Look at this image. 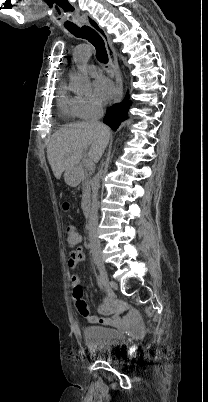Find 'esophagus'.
<instances>
[{
    "mask_svg": "<svg viewBox=\"0 0 208 402\" xmlns=\"http://www.w3.org/2000/svg\"><path fill=\"white\" fill-rule=\"evenodd\" d=\"M82 23H87L92 27L104 40V43L106 45V50L107 54L109 57V62L110 65L114 71V76H115V81H116V94L113 103H118L122 99L123 96V84H122V78H121V73L119 69V64L116 56V52L112 46L111 40L106 33L105 29L99 25L97 22L96 18H94L92 15L89 13H84L81 18Z\"/></svg>",
    "mask_w": 208,
    "mask_h": 402,
    "instance_id": "34e87169",
    "label": "esophagus"
}]
</instances>
